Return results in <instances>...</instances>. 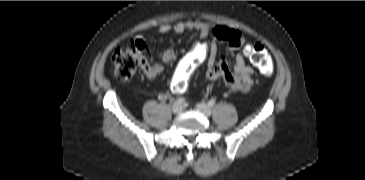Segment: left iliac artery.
Here are the masks:
<instances>
[{"label": "left iliac artery", "instance_id": "1", "mask_svg": "<svg viewBox=\"0 0 365 180\" xmlns=\"http://www.w3.org/2000/svg\"><path fill=\"white\" fill-rule=\"evenodd\" d=\"M208 105L210 107L214 106L215 105V100L214 99H211L209 102H208Z\"/></svg>", "mask_w": 365, "mask_h": 180}]
</instances>
